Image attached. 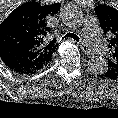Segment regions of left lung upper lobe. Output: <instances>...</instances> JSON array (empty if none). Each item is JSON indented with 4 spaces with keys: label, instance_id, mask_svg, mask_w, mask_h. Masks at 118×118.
<instances>
[{
    "label": "left lung upper lobe",
    "instance_id": "left-lung-upper-lobe-1",
    "mask_svg": "<svg viewBox=\"0 0 118 118\" xmlns=\"http://www.w3.org/2000/svg\"><path fill=\"white\" fill-rule=\"evenodd\" d=\"M95 12L104 34L109 38L110 54L107 71L100 75L103 79L118 80V11L110 6L98 5Z\"/></svg>",
    "mask_w": 118,
    "mask_h": 118
}]
</instances>
